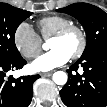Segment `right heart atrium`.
Masks as SVG:
<instances>
[{
  "label": "right heart atrium",
  "instance_id": "1",
  "mask_svg": "<svg viewBox=\"0 0 107 107\" xmlns=\"http://www.w3.org/2000/svg\"><path fill=\"white\" fill-rule=\"evenodd\" d=\"M13 41L18 52L27 59L35 58L42 50L40 36L27 22H22L17 26Z\"/></svg>",
  "mask_w": 107,
  "mask_h": 107
}]
</instances>
